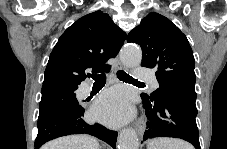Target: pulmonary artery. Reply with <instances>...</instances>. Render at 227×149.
Masks as SVG:
<instances>
[{
    "mask_svg": "<svg viewBox=\"0 0 227 149\" xmlns=\"http://www.w3.org/2000/svg\"><path fill=\"white\" fill-rule=\"evenodd\" d=\"M135 73V78L137 80L148 82L153 88H158V82L150 69L145 67H138L135 69ZM86 92H88V90Z\"/></svg>",
    "mask_w": 227,
    "mask_h": 149,
    "instance_id": "pulmonary-artery-1",
    "label": "pulmonary artery"
}]
</instances>
